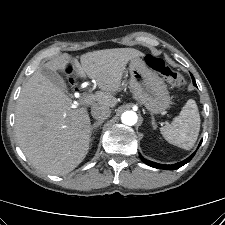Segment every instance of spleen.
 Masks as SVG:
<instances>
[{
	"instance_id": "3e777b00",
	"label": "spleen",
	"mask_w": 225,
	"mask_h": 225,
	"mask_svg": "<svg viewBox=\"0 0 225 225\" xmlns=\"http://www.w3.org/2000/svg\"><path fill=\"white\" fill-rule=\"evenodd\" d=\"M200 115L197 104L189 99L180 114L173 119L171 124L160 128L164 139L170 144L184 150H190L199 135Z\"/></svg>"
}]
</instances>
